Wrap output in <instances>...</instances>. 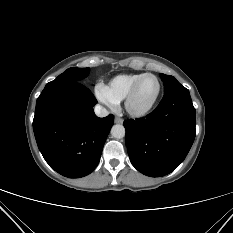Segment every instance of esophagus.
I'll list each match as a JSON object with an SVG mask.
<instances>
[{"mask_svg":"<svg viewBox=\"0 0 233 233\" xmlns=\"http://www.w3.org/2000/svg\"><path fill=\"white\" fill-rule=\"evenodd\" d=\"M114 121H115L116 124H122L123 123V119L120 118V117H116Z\"/></svg>","mask_w":233,"mask_h":233,"instance_id":"obj_1","label":"esophagus"}]
</instances>
